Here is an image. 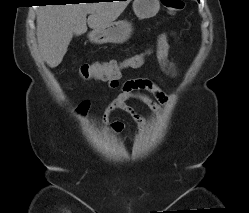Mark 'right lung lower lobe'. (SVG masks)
<instances>
[{"instance_id": "1", "label": "right lung lower lobe", "mask_w": 249, "mask_h": 213, "mask_svg": "<svg viewBox=\"0 0 249 213\" xmlns=\"http://www.w3.org/2000/svg\"><path fill=\"white\" fill-rule=\"evenodd\" d=\"M65 1L66 0H47V2H54V3H61V4H63V3H65ZM44 1H42V3H43Z\"/></svg>"}]
</instances>
